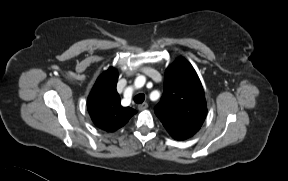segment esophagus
<instances>
[{
  "mask_svg": "<svg viewBox=\"0 0 288 181\" xmlns=\"http://www.w3.org/2000/svg\"><path fill=\"white\" fill-rule=\"evenodd\" d=\"M147 108H148V104H147L146 102L138 105V109H139L140 111L145 110V109H147Z\"/></svg>",
  "mask_w": 288,
  "mask_h": 181,
  "instance_id": "34e87169",
  "label": "esophagus"
}]
</instances>
